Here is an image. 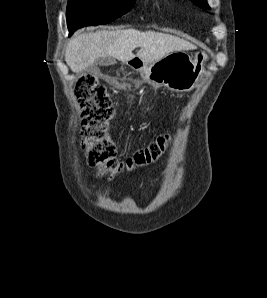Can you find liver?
Wrapping results in <instances>:
<instances>
[{
    "instance_id": "liver-1",
    "label": "liver",
    "mask_w": 267,
    "mask_h": 298,
    "mask_svg": "<svg viewBox=\"0 0 267 298\" xmlns=\"http://www.w3.org/2000/svg\"><path fill=\"white\" fill-rule=\"evenodd\" d=\"M140 48L137 54L133 50ZM196 46L179 37L154 31L134 29L76 33L70 39L65 61L70 69L79 73L101 58H115L128 62L135 57L154 63L175 51H189Z\"/></svg>"
}]
</instances>
